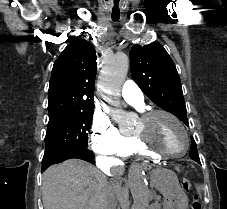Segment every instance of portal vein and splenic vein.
I'll use <instances>...</instances> for the list:
<instances>
[{
  "mask_svg": "<svg viewBox=\"0 0 227 209\" xmlns=\"http://www.w3.org/2000/svg\"><path fill=\"white\" fill-rule=\"evenodd\" d=\"M155 197L157 200H160L162 196L159 194V195H156Z\"/></svg>",
  "mask_w": 227,
  "mask_h": 209,
  "instance_id": "obj_1",
  "label": "portal vein and splenic vein"
}]
</instances>
